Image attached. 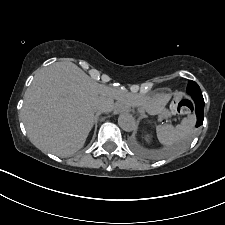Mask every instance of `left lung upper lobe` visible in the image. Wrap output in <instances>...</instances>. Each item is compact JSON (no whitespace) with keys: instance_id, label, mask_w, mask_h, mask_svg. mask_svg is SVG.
<instances>
[{"instance_id":"left-lung-upper-lobe-1","label":"left lung upper lobe","mask_w":225,"mask_h":225,"mask_svg":"<svg viewBox=\"0 0 225 225\" xmlns=\"http://www.w3.org/2000/svg\"><path fill=\"white\" fill-rule=\"evenodd\" d=\"M187 93L192 97H203L200 87L198 86V84L192 80H190L188 82V86H187Z\"/></svg>"}]
</instances>
